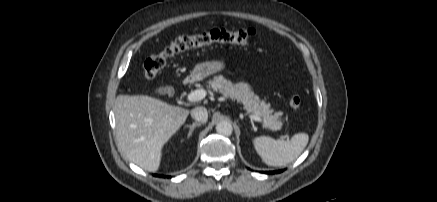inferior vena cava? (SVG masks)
Masks as SVG:
<instances>
[{
    "mask_svg": "<svg viewBox=\"0 0 437 202\" xmlns=\"http://www.w3.org/2000/svg\"><path fill=\"white\" fill-rule=\"evenodd\" d=\"M191 117L198 122L206 123L208 120V112L205 107H196L191 110Z\"/></svg>",
    "mask_w": 437,
    "mask_h": 202,
    "instance_id": "obj_1",
    "label": "inferior vena cava"
}]
</instances>
